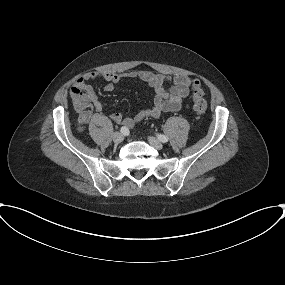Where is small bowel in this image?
Segmentation results:
<instances>
[{"label": "small bowel", "instance_id": "small-bowel-1", "mask_svg": "<svg viewBox=\"0 0 285 285\" xmlns=\"http://www.w3.org/2000/svg\"><path fill=\"white\" fill-rule=\"evenodd\" d=\"M97 79L107 82L104 87L107 92L113 91L115 85L125 79L142 80L152 89L154 99L151 107L138 111L134 117H126L121 112L110 115L114 122L126 128H131L146 118H157L163 112L179 110L191 91L200 87L198 79H192L185 75L169 76L148 70L90 72L78 78L70 90L73 106L78 112V121L81 124L87 123L93 112H101L104 109L94 88L88 84L89 81Z\"/></svg>", "mask_w": 285, "mask_h": 285}]
</instances>
